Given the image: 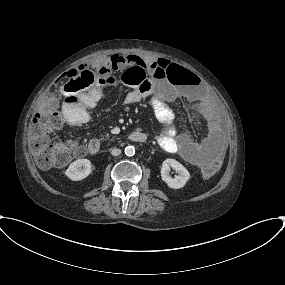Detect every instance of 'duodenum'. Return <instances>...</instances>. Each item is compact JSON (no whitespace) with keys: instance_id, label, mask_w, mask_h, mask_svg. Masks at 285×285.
<instances>
[{"instance_id":"obj_1","label":"duodenum","mask_w":285,"mask_h":285,"mask_svg":"<svg viewBox=\"0 0 285 285\" xmlns=\"http://www.w3.org/2000/svg\"><path fill=\"white\" fill-rule=\"evenodd\" d=\"M129 139L133 142L143 143L146 141L147 137L141 131H134L129 135ZM87 150L89 154L96 156L101 152V141L98 139H92L87 145Z\"/></svg>"}]
</instances>
